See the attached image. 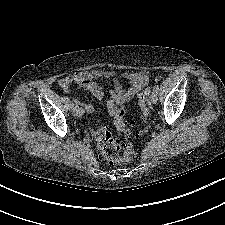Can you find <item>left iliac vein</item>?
Returning <instances> with one entry per match:
<instances>
[{
	"mask_svg": "<svg viewBox=\"0 0 225 225\" xmlns=\"http://www.w3.org/2000/svg\"><path fill=\"white\" fill-rule=\"evenodd\" d=\"M150 100L153 104L157 103V92L156 91H152L151 95H150Z\"/></svg>",
	"mask_w": 225,
	"mask_h": 225,
	"instance_id": "4c4485c4",
	"label": "left iliac vein"
}]
</instances>
